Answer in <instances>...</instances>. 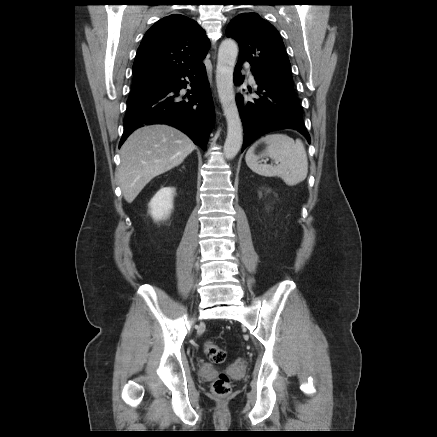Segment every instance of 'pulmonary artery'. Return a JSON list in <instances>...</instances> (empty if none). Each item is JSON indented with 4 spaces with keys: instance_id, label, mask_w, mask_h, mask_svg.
Segmentation results:
<instances>
[{
    "instance_id": "obj_1",
    "label": "pulmonary artery",
    "mask_w": 437,
    "mask_h": 437,
    "mask_svg": "<svg viewBox=\"0 0 437 437\" xmlns=\"http://www.w3.org/2000/svg\"><path fill=\"white\" fill-rule=\"evenodd\" d=\"M249 77H250V79L253 81L254 80V77H253V75L251 74V72H249Z\"/></svg>"
}]
</instances>
